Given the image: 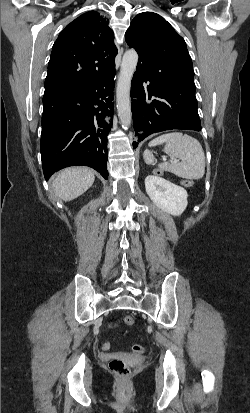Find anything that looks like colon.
<instances>
[{"mask_svg":"<svg viewBox=\"0 0 250 413\" xmlns=\"http://www.w3.org/2000/svg\"><path fill=\"white\" fill-rule=\"evenodd\" d=\"M153 175L156 177H163L165 175V170L163 168H156L153 170ZM177 185L181 187H188L192 186L193 182L189 181L188 178H181L177 180ZM135 322L134 318L130 315H126L120 320H117L116 323H123L125 325L131 326ZM108 327L112 326L111 322L107 323ZM102 348L107 350L110 348V343L105 341L102 343ZM132 350L135 353H143L145 351V347L140 345V344H134L132 345ZM109 369L110 371L115 374L119 379L125 380L129 377L130 375V368L127 365V363L121 359V358H113L109 361Z\"/></svg>","mask_w":250,"mask_h":413,"instance_id":"1","label":"colon"}]
</instances>
